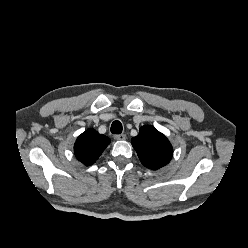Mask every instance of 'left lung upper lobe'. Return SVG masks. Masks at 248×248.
Segmentation results:
<instances>
[{"mask_svg":"<svg viewBox=\"0 0 248 248\" xmlns=\"http://www.w3.org/2000/svg\"><path fill=\"white\" fill-rule=\"evenodd\" d=\"M132 145L142 164L152 170L167 165L173 154L169 140L155 127L146 125L132 138Z\"/></svg>","mask_w":248,"mask_h":248,"instance_id":"1","label":"left lung upper lobe"}]
</instances>
